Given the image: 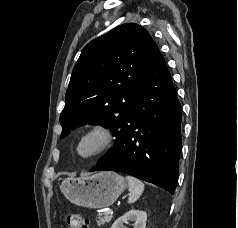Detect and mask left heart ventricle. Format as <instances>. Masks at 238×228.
<instances>
[{
  "mask_svg": "<svg viewBox=\"0 0 238 228\" xmlns=\"http://www.w3.org/2000/svg\"><path fill=\"white\" fill-rule=\"evenodd\" d=\"M93 146V142L92 141H88L86 143H84L81 147V151L82 153H87Z\"/></svg>",
  "mask_w": 238,
  "mask_h": 228,
  "instance_id": "obj_1",
  "label": "left heart ventricle"
}]
</instances>
